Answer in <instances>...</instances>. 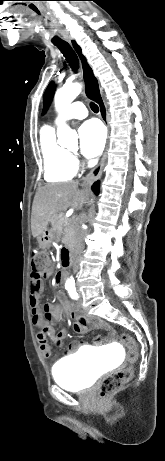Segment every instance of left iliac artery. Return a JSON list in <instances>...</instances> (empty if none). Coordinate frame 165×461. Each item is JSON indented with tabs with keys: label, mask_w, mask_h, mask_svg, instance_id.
<instances>
[{
	"label": "left iliac artery",
	"mask_w": 165,
	"mask_h": 461,
	"mask_svg": "<svg viewBox=\"0 0 165 461\" xmlns=\"http://www.w3.org/2000/svg\"><path fill=\"white\" fill-rule=\"evenodd\" d=\"M68 290H69V294H70L71 298H73V299L78 298V294H77V292L75 290V287H72V288H70Z\"/></svg>",
	"instance_id": "44dca946"
}]
</instances>
